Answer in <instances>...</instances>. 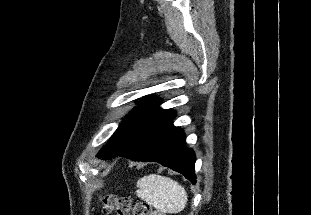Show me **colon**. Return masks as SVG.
<instances>
[{
	"label": "colon",
	"mask_w": 311,
	"mask_h": 215,
	"mask_svg": "<svg viewBox=\"0 0 311 215\" xmlns=\"http://www.w3.org/2000/svg\"><path fill=\"white\" fill-rule=\"evenodd\" d=\"M100 202L105 214L116 212L117 215H165L145 202L133 203L129 197L107 194L100 198Z\"/></svg>",
	"instance_id": "5ec220e1"
}]
</instances>
